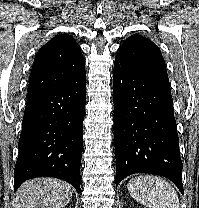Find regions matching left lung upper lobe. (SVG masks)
Listing matches in <instances>:
<instances>
[{
  "label": "left lung upper lobe",
  "mask_w": 199,
  "mask_h": 208,
  "mask_svg": "<svg viewBox=\"0 0 199 208\" xmlns=\"http://www.w3.org/2000/svg\"><path fill=\"white\" fill-rule=\"evenodd\" d=\"M134 68L169 81L160 49L148 38L138 34L130 36L119 47L117 57Z\"/></svg>",
  "instance_id": "obj_1"
}]
</instances>
